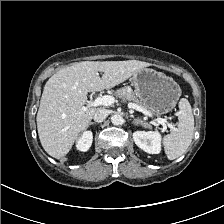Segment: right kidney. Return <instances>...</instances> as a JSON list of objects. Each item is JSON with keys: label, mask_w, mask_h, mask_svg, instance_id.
I'll list each match as a JSON object with an SVG mask.
<instances>
[{"label": "right kidney", "mask_w": 224, "mask_h": 224, "mask_svg": "<svg viewBox=\"0 0 224 224\" xmlns=\"http://www.w3.org/2000/svg\"><path fill=\"white\" fill-rule=\"evenodd\" d=\"M92 141H93L92 132L85 131L83 132L81 137L77 140L76 147L78 150L85 152L91 147Z\"/></svg>", "instance_id": "obj_1"}]
</instances>
